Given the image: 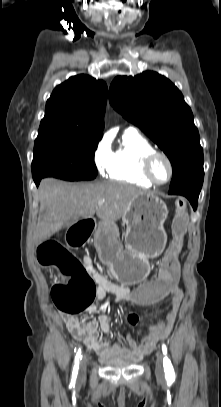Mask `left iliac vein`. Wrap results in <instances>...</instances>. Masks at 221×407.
Wrapping results in <instances>:
<instances>
[{"mask_svg":"<svg viewBox=\"0 0 221 407\" xmlns=\"http://www.w3.org/2000/svg\"><path fill=\"white\" fill-rule=\"evenodd\" d=\"M163 360H164V356H163L162 352H157L155 373L159 379H162L164 377Z\"/></svg>","mask_w":221,"mask_h":407,"instance_id":"obj_1","label":"left iliac vein"}]
</instances>
